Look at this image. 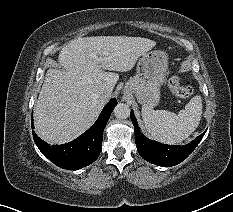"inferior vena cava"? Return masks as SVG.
Segmentation results:
<instances>
[{
    "label": "inferior vena cava",
    "instance_id": "obj_1",
    "mask_svg": "<svg viewBox=\"0 0 233 212\" xmlns=\"http://www.w3.org/2000/svg\"><path fill=\"white\" fill-rule=\"evenodd\" d=\"M100 93H101L102 95L108 97V96H110V94H111V90H110L109 88H107V87L101 88V89H100Z\"/></svg>",
    "mask_w": 233,
    "mask_h": 212
}]
</instances>
